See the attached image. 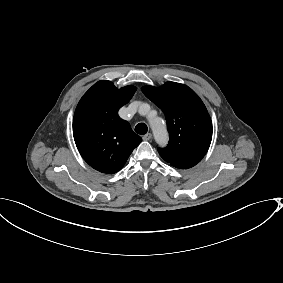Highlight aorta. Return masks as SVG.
Segmentation results:
<instances>
[{"label": "aorta", "mask_w": 283, "mask_h": 283, "mask_svg": "<svg viewBox=\"0 0 283 283\" xmlns=\"http://www.w3.org/2000/svg\"><path fill=\"white\" fill-rule=\"evenodd\" d=\"M146 107L147 105H142L140 107V112H142ZM150 125L156 142L160 145H165L168 141V133L165 124L161 122V119L154 118L150 120Z\"/></svg>", "instance_id": "obj_1"}]
</instances>
